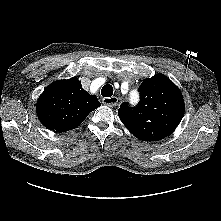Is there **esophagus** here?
I'll use <instances>...</instances> for the list:
<instances>
[{
  "mask_svg": "<svg viewBox=\"0 0 221 221\" xmlns=\"http://www.w3.org/2000/svg\"><path fill=\"white\" fill-rule=\"evenodd\" d=\"M117 102H118V98L115 97V96H113V97H105V98L102 99V103L104 105L109 106V107L115 106L117 104Z\"/></svg>",
  "mask_w": 221,
  "mask_h": 221,
  "instance_id": "1",
  "label": "esophagus"
}]
</instances>
